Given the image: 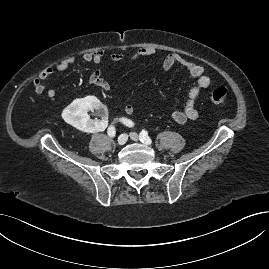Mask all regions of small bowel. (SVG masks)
<instances>
[{
	"mask_svg": "<svg viewBox=\"0 0 269 269\" xmlns=\"http://www.w3.org/2000/svg\"><path fill=\"white\" fill-rule=\"evenodd\" d=\"M156 53L153 47H142L135 50L130 55L124 53H112L106 55L104 50H97L93 52H86L83 54L82 59L87 63L103 64L106 60L114 63L118 62H131L138 58L151 56ZM162 67L165 70L171 69L174 65L183 66L188 74L196 79L195 84L188 91L187 99L183 110L175 111L172 113V120L179 125L195 121L199 116L197 104L203 94V91L211 84V78L205 74V69L202 65L195 63L184 56L171 52L162 58ZM75 64V58L69 57L60 60L53 67L43 69L37 77L33 80V89L36 94H44L47 99H53L56 95L54 89L46 90V82L53 75L55 71H65ZM91 83L100 88L104 92L111 89L110 83L103 76V69L96 70L91 75ZM124 113L130 116L134 113V107L131 104H126L123 108ZM125 121V120H123ZM126 124V123H125Z\"/></svg>",
	"mask_w": 269,
	"mask_h": 269,
	"instance_id": "small-bowel-1",
	"label": "small bowel"
}]
</instances>
